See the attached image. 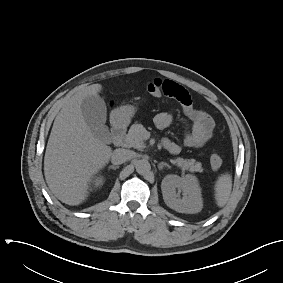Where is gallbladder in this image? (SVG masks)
Segmentation results:
<instances>
[{
  "instance_id": "obj_1",
  "label": "gallbladder",
  "mask_w": 283,
  "mask_h": 283,
  "mask_svg": "<svg viewBox=\"0 0 283 283\" xmlns=\"http://www.w3.org/2000/svg\"><path fill=\"white\" fill-rule=\"evenodd\" d=\"M81 110L85 122L92 130L94 136L106 143L110 142V132L105 125L107 108L104 100L98 95L87 96L82 101Z\"/></svg>"
}]
</instances>
